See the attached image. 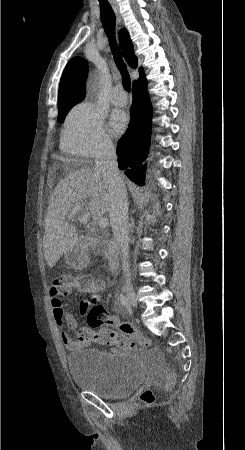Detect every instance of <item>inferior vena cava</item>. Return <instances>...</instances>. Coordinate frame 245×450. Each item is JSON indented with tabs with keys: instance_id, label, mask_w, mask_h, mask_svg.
<instances>
[{
	"instance_id": "inferior-vena-cava-1",
	"label": "inferior vena cava",
	"mask_w": 245,
	"mask_h": 450,
	"mask_svg": "<svg viewBox=\"0 0 245 450\" xmlns=\"http://www.w3.org/2000/svg\"><path fill=\"white\" fill-rule=\"evenodd\" d=\"M95 170L102 174L110 200V223L117 244L121 248L122 270L126 283L131 282L128 245V198L123 178L117 168V155L111 142H104L96 158Z\"/></svg>"
}]
</instances>
